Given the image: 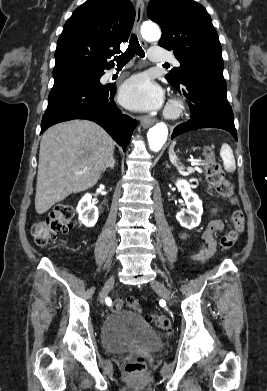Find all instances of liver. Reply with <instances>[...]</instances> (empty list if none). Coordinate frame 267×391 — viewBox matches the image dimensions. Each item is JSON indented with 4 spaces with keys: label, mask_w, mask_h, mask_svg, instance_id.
I'll use <instances>...</instances> for the list:
<instances>
[{
    "label": "liver",
    "mask_w": 267,
    "mask_h": 391,
    "mask_svg": "<svg viewBox=\"0 0 267 391\" xmlns=\"http://www.w3.org/2000/svg\"><path fill=\"white\" fill-rule=\"evenodd\" d=\"M115 142L94 122L74 120L46 130L40 142L35 210L38 214L99 180Z\"/></svg>",
    "instance_id": "liver-1"
}]
</instances>
